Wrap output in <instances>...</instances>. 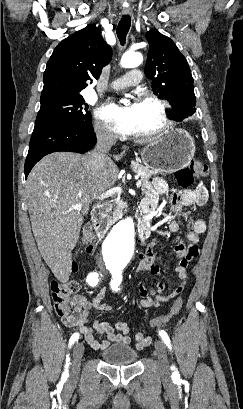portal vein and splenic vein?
I'll use <instances>...</instances> for the list:
<instances>
[{
  "instance_id": "18ae733b",
  "label": "portal vein and splenic vein",
  "mask_w": 243,
  "mask_h": 409,
  "mask_svg": "<svg viewBox=\"0 0 243 409\" xmlns=\"http://www.w3.org/2000/svg\"><path fill=\"white\" fill-rule=\"evenodd\" d=\"M141 184H142V182L140 180H137L136 186L138 188L141 187ZM121 192H122L121 187H113V188H110L109 190H107L105 193H102L99 196H97L96 199L102 200V199L108 198L109 196H112L114 194L121 193ZM81 209H82V204L81 203H77V204L73 205L72 208H70V210H81Z\"/></svg>"
}]
</instances>
